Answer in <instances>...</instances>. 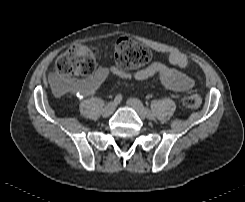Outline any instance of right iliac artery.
Instances as JSON below:
<instances>
[{
	"mask_svg": "<svg viewBox=\"0 0 245 202\" xmlns=\"http://www.w3.org/2000/svg\"><path fill=\"white\" fill-rule=\"evenodd\" d=\"M121 100H122V95H121V94H117V95L115 96V98H114V102H115L116 104L120 103Z\"/></svg>",
	"mask_w": 245,
	"mask_h": 202,
	"instance_id": "82829eb1",
	"label": "right iliac artery"
}]
</instances>
